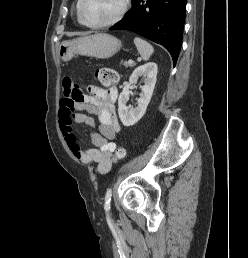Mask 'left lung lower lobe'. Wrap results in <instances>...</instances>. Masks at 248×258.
<instances>
[{
  "mask_svg": "<svg viewBox=\"0 0 248 258\" xmlns=\"http://www.w3.org/2000/svg\"><path fill=\"white\" fill-rule=\"evenodd\" d=\"M186 0H132V8L110 30H130L164 46L174 65L181 48Z\"/></svg>",
  "mask_w": 248,
  "mask_h": 258,
  "instance_id": "1",
  "label": "left lung lower lobe"
}]
</instances>
